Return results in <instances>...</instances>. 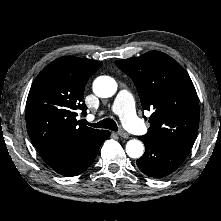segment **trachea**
<instances>
[{
    "label": "trachea",
    "instance_id": "trachea-1",
    "mask_svg": "<svg viewBox=\"0 0 221 221\" xmlns=\"http://www.w3.org/2000/svg\"><path fill=\"white\" fill-rule=\"evenodd\" d=\"M85 123L96 128H105V129H110L112 131L118 130L116 122L113 119H109V118L103 119L102 121H99L98 123H88L87 121H85Z\"/></svg>",
    "mask_w": 221,
    "mask_h": 221
}]
</instances>
